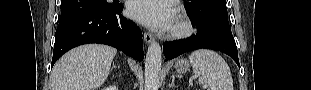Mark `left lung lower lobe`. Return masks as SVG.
<instances>
[{"label":"left lung lower lobe","instance_id":"obj_1","mask_svg":"<svg viewBox=\"0 0 311 90\" xmlns=\"http://www.w3.org/2000/svg\"><path fill=\"white\" fill-rule=\"evenodd\" d=\"M202 48L221 51L233 58L240 66L237 46L232 33L216 27L197 29L195 37L188 41L167 42L163 45V52L165 59L169 60L185 52Z\"/></svg>","mask_w":311,"mask_h":90}]
</instances>
